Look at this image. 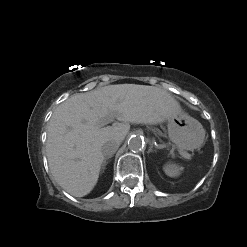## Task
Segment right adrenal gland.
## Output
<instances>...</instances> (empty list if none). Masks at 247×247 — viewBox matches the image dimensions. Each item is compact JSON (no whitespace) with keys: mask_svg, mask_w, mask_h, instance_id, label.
I'll return each mask as SVG.
<instances>
[{"mask_svg":"<svg viewBox=\"0 0 247 247\" xmlns=\"http://www.w3.org/2000/svg\"><path fill=\"white\" fill-rule=\"evenodd\" d=\"M112 156H109V157H106L103 161V164H102V169L104 170L105 169V166L108 164V160L111 158Z\"/></svg>","mask_w":247,"mask_h":247,"instance_id":"right-adrenal-gland-1","label":"right adrenal gland"}]
</instances>
